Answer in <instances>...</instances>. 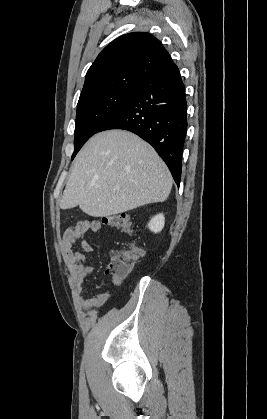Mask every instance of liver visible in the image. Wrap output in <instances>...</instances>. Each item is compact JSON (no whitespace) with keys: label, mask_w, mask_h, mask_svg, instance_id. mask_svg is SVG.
Here are the masks:
<instances>
[{"label":"liver","mask_w":267,"mask_h":419,"mask_svg":"<svg viewBox=\"0 0 267 419\" xmlns=\"http://www.w3.org/2000/svg\"><path fill=\"white\" fill-rule=\"evenodd\" d=\"M172 183L168 167L147 142L128 131L108 130L90 138L76 156L60 208L116 215L165 201Z\"/></svg>","instance_id":"1"}]
</instances>
